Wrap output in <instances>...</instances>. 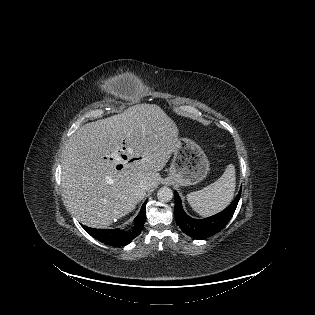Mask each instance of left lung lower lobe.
Returning a JSON list of instances; mask_svg holds the SVG:
<instances>
[{
    "label": "left lung lower lobe",
    "instance_id": "1",
    "mask_svg": "<svg viewBox=\"0 0 315 315\" xmlns=\"http://www.w3.org/2000/svg\"><path fill=\"white\" fill-rule=\"evenodd\" d=\"M241 195V189L233 202L220 213L211 217L197 220L189 217L183 210L178 193L175 197V219L180 229L194 239H206L219 232L232 218Z\"/></svg>",
    "mask_w": 315,
    "mask_h": 315
}]
</instances>
